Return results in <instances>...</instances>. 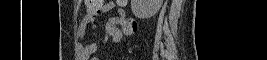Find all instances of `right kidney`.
<instances>
[{
  "instance_id": "obj_1",
  "label": "right kidney",
  "mask_w": 267,
  "mask_h": 60,
  "mask_svg": "<svg viewBox=\"0 0 267 60\" xmlns=\"http://www.w3.org/2000/svg\"><path fill=\"white\" fill-rule=\"evenodd\" d=\"M162 2L163 0H131V9L135 17L147 19L159 11Z\"/></svg>"
}]
</instances>
